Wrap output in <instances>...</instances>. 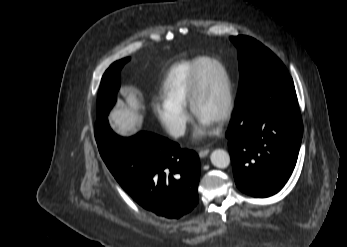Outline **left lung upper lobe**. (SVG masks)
Segmentation results:
<instances>
[{
	"label": "left lung upper lobe",
	"mask_w": 347,
	"mask_h": 247,
	"mask_svg": "<svg viewBox=\"0 0 347 247\" xmlns=\"http://www.w3.org/2000/svg\"><path fill=\"white\" fill-rule=\"evenodd\" d=\"M238 49L239 88L236 105L245 99L263 82L278 76L288 75V71L267 47L248 36L230 37Z\"/></svg>",
	"instance_id": "5c2ea615"
}]
</instances>
